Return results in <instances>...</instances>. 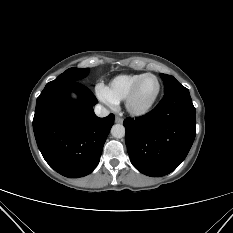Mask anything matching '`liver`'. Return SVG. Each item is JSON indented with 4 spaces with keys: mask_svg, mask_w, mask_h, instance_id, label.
Returning <instances> with one entry per match:
<instances>
[{
    "mask_svg": "<svg viewBox=\"0 0 233 233\" xmlns=\"http://www.w3.org/2000/svg\"><path fill=\"white\" fill-rule=\"evenodd\" d=\"M71 96H72L73 98H76V94H74V93H71Z\"/></svg>",
    "mask_w": 233,
    "mask_h": 233,
    "instance_id": "liver-1",
    "label": "liver"
}]
</instances>
